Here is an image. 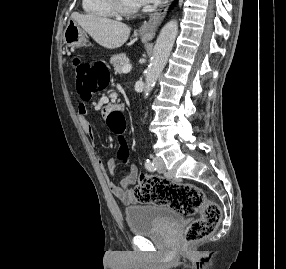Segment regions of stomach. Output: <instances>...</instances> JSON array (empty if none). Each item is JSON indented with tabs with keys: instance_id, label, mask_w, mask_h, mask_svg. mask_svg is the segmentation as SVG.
Instances as JSON below:
<instances>
[{
	"instance_id": "1",
	"label": "stomach",
	"mask_w": 286,
	"mask_h": 269,
	"mask_svg": "<svg viewBox=\"0 0 286 269\" xmlns=\"http://www.w3.org/2000/svg\"><path fill=\"white\" fill-rule=\"evenodd\" d=\"M64 43L69 47L79 48L85 45L86 33L74 20H69L63 32ZM146 40L145 37L142 38Z\"/></svg>"
}]
</instances>
